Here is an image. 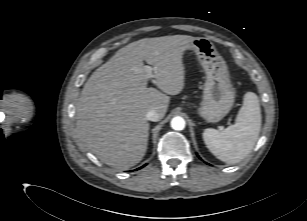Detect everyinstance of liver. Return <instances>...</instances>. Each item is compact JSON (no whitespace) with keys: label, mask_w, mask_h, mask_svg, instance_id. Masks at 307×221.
<instances>
[{"label":"liver","mask_w":307,"mask_h":221,"mask_svg":"<svg viewBox=\"0 0 307 221\" xmlns=\"http://www.w3.org/2000/svg\"><path fill=\"white\" fill-rule=\"evenodd\" d=\"M194 37L144 38L119 49L85 83L76 105L79 140L105 164L125 170L144 157L149 136L146 113L165 116L169 95L184 88L183 54ZM145 61L158 89L148 87Z\"/></svg>","instance_id":"liver-1"}]
</instances>
